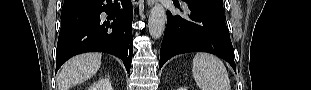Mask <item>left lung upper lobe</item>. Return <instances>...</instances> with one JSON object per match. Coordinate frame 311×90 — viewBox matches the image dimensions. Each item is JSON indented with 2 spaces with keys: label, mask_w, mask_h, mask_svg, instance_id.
<instances>
[{
  "label": "left lung upper lobe",
  "mask_w": 311,
  "mask_h": 90,
  "mask_svg": "<svg viewBox=\"0 0 311 90\" xmlns=\"http://www.w3.org/2000/svg\"><path fill=\"white\" fill-rule=\"evenodd\" d=\"M184 1L197 3L202 6L223 12V0H184Z\"/></svg>",
  "instance_id": "obj_1"
}]
</instances>
